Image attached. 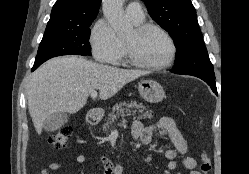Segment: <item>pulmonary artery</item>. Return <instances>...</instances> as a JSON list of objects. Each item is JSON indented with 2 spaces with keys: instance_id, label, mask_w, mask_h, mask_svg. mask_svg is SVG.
I'll return each instance as SVG.
<instances>
[{
  "instance_id": "obj_1",
  "label": "pulmonary artery",
  "mask_w": 249,
  "mask_h": 174,
  "mask_svg": "<svg viewBox=\"0 0 249 174\" xmlns=\"http://www.w3.org/2000/svg\"><path fill=\"white\" fill-rule=\"evenodd\" d=\"M126 13L131 19L140 20L144 18V12L139 2H130L126 7Z\"/></svg>"
}]
</instances>
